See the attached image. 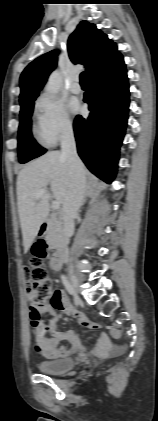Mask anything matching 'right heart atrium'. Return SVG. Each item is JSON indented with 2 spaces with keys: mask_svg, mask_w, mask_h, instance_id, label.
<instances>
[{
  "mask_svg": "<svg viewBox=\"0 0 158 421\" xmlns=\"http://www.w3.org/2000/svg\"><path fill=\"white\" fill-rule=\"evenodd\" d=\"M38 125L45 140L54 144L73 130L72 120L64 104L51 95L43 94L35 105Z\"/></svg>",
  "mask_w": 158,
  "mask_h": 421,
  "instance_id": "d8ad5b80",
  "label": "right heart atrium"
}]
</instances>
